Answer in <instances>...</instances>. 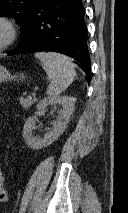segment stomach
Returning <instances> with one entry per match:
<instances>
[{"label":"stomach","mask_w":128,"mask_h":213,"mask_svg":"<svg viewBox=\"0 0 128 213\" xmlns=\"http://www.w3.org/2000/svg\"><path fill=\"white\" fill-rule=\"evenodd\" d=\"M23 80L25 78L24 73H20L19 75H12L9 70L0 65V83L8 80Z\"/></svg>","instance_id":"0dacf381"}]
</instances>
